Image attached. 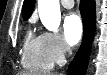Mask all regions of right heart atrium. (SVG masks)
I'll return each mask as SVG.
<instances>
[{
	"mask_svg": "<svg viewBox=\"0 0 107 75\" xmlns=\"http://www.w3.org/2000/svg\"><path fill=\"white\" fill-rule=\"evenodd\" d=\"M42 39L47 51V54L53 64H62L70 53V47L62 35L57 33H43Z\"/></svg>",
	"mask_w": 107,
	"mask_h": 75,
	"instance_id": "right-heart-atrium-1",
	"label": "right heart atrium"
}]
</instances>
